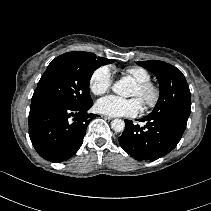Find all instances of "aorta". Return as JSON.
Masks as SVG:
<instances>
[{"instance_id":"1","label":"aorta","mask_w":211,"mask_h":211,"mask_svg":"<svg viewBox=\"0 0 211 211\" xmlns=\"http://www.w3.org/2000/svg\"><path fill=\"white\" fill-rule=\"evenodd\" d=\"M128 86H129L128 81L125 79H121L116 83H114V85L112 86V90L116 94L124 96L127 93ZM111 128L116 132H122L125 128V122L121 119H114L111 122Z\"/></svg>"}]
</instances>
